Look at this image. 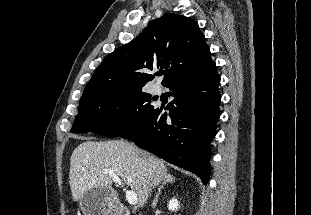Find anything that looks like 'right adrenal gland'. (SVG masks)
I'll use <instances>...</instances> for the list:
<instances>
[{
  "label": "right adrenal gland",
  "instance_id": "1",
  "mask_svg": "<svg viewBox=\"0 0 311 215\" xmlns=\"http://www.w3.org/2000/svg\"><path fill=\"white\" fill-rule=\"evenodd\" d=\"M175 182V177H173L172 175L168 174L166 176V178L164 179L162 185L159 187L158 192L153 200L152 206L155 207L158 201V197L161 194V190L164 188V186L168 183H174Z\"/></svg>",
  "mask_w": 311,
  "mask_h": 215
}]
</instances>
